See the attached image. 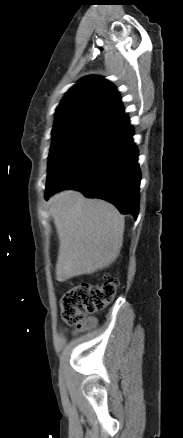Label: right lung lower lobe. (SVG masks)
<instances>
[{
    "label": "right lung lower lobe",
    "instance_id": "98d812e1",
    "mask_svg": "<svg viewBox=\"0 0 183 438\" xmlns=\"http://www.w3.org/2000/svg\"><path fill=\"white\" fill-rule=\"evenodd\" d=\"M133 128L127 115L101 126L72 160L48 184L45 199L62 189L114 204L122 214L139 212L141 172Z\"/></svg>",
    "mask_w": 183,
    "mask_h": 438
}]
</instances>
